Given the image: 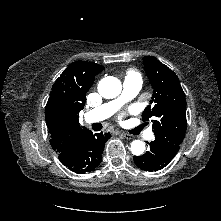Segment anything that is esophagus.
Returning <instances> with one entry per match:
<instances>
[{
    "mask_svg": "<svg viewBox=\"0 0 221 221\" xmlns=\"http://www.w3.org/2000/svg\"><path fill=\"white\" fill-rule=\"evenodd\" d=\"M118 134L121 135L122 137L126 138V139H129V140L133 138L132 135L127 134V133H118Z\"/></svg>",
    "mask_w": 221,
    "mask_h": 221,
    "instance_id": "1",
    "label": "esophagus"
}]
</instances>
